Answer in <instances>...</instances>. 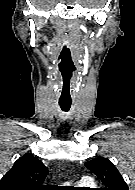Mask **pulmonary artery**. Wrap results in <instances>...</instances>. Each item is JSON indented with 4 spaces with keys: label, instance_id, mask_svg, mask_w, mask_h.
<instances>
[{
    "label": "pulmonary artery",
    "instance_id": "1",
    "mask_svg": "<svg viewBox=\"0 0 135 190\" xmlns=\"http://www.w3.org/2000/svg\"><path fill=\"white\" fill-rule=\"evenodd\" d=\"M88 181L87 179H84L83 182Z\"/></svg>",
    "mask_w": 135,
    "mask_h": 190
}]
</instances>
